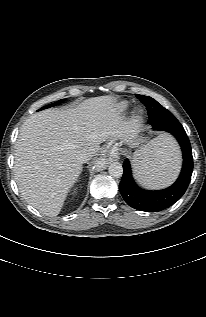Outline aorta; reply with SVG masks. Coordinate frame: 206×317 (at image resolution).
<instances>
[{
	"mask_svg": "<svg viewBox=\"0 0 206 317\" xmlns=\"http://www.w3.org/2000/svg\"><path fill=\"white\" fill-rule=\"evenodd\" d=\"M108 172L112 177L119 178L123 174V167L119 162H113L109 165Z\"/></svg>",
	"mask_w": 206,
	"mask_h": 317,
	"instance_id": "obj_1",
	"label": "aorta"
}]
</instances>
